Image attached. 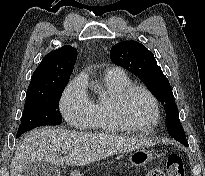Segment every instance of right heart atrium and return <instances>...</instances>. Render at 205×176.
I'll use <instances>...</instances> for the list:
<instances>
[{
  "label": "right heart atrium",
  "instance_id": "right-heart-atrium-1",
  "mask_svg": "<svg viewBox=\"0 0 205 176\" xmlns=\"http://www.w3.org/2000/svg\"><path fill=\"white\" fill-rule=\"evenodd\" d=\"M59 109L69 125L84 129L92 116V101L88 96L81 76L72 79L59 100Z\"/></svg>",
  "mask_w": 205,
  "mask_h": 176
}]
</instances>
